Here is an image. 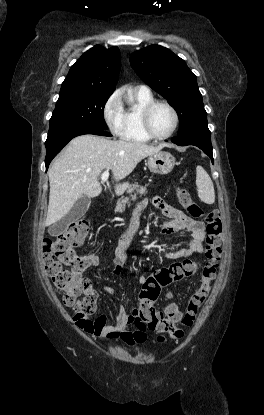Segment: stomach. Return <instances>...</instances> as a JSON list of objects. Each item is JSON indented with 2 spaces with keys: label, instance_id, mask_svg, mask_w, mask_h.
<instances>
[{
  "label": "stomach",
  "instance_id": "obj_1",
  "mask_svg": "<svg viewBox=\"0 0 264 415\" xmlns=\"http://www.w3.org/2000/svg\"><path fill=\"white\" fill-rule=\"evenodd\" d=\"M148 168L155 174H168L172 171L175 165V158L166 151H159L152 154L147 159ZM138 185H131L128 188V192H132Z\"/></svg>",
  "mask_w": 264,
  "mask_h": 415
}]
</instances>
